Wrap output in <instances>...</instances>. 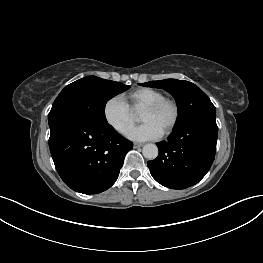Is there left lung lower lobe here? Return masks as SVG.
I'll list each match as a JSON object with an SVG mask.
<instances>
[{
	"instance_id": "left-lung-lower-lobe-1",
	"label": "left lung lower lobe",
	"mask_w": 263,
	"mask_h": 263,
	"mask_svg": "<svg viewBox=\"0 0 263 263\" xmlns=\"http://www.w3.org/2000/svg\"><path fill=\"white\" fill-rule=\"evenodd\" d=\"M217 135L215 117L196 119L176 127L167 141L157 143L158 157L147 162L152 177L172 189L198 183L214 161Z\"/></svg>"
}]
</instances>
